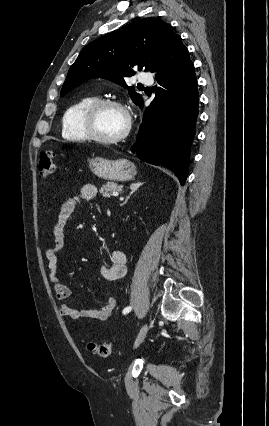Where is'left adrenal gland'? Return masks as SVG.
Wrapping results in <instances>:
<instances>
[{
	"instance_id": "obj_1",
	"label": "left adrenal gland",
	"mask_w": 269,
	"mask_h": 426,
	"mask_svg": "<svg viewBox=\"0 0 269 426\" xmlns=\"http://www.w3.org/2000/svg\"><path fill=\"white\" fill-rule=\"evenodd\" d=\"M143 184H144V182H137V183H133V184H131V186H130L131 192H130V194L126 197L125 201H124L121 205L126 204V203H127V201L129 200V198L132 196V194H133V193H135V192L138 190V188H139L140 186H142Z\"/></svg>"
}]
</instances>
